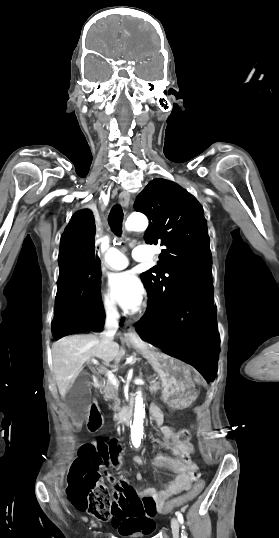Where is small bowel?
Wrapping results in <instances>:
<instances>
[{
  "label": "small bowel",
  "instance_id": "obj_1",
  "mask_svg": "<svg viewBox=\"0 0 279 538\" xmlns=\"http://www.w3.org/2000/svg\"><path fill=\"white\" fill-rule=\"evenodd\" d=\"M154 421L156 425L160 427L162 445L167 446L172 453L171 457L158 456L151 463L153 471L167 468L171 472L170 478L162 485L161 489H149L153 494L157 507L162 508L169 497L189 490L192 480L186 474V467L183 460L185 446L176 442V433L171 427L163 425V415L160 412L154 416ZM168 440H171V443H167ZM133 462L137 465L144 464V460L140 456H135ZM118 465L122 468L124 467L122 457L119 458ZM137 477L138 479H141V475H138ZM144 489L145 488H142L141 491ZM111 521L114 528H116L122 535H128L133 532L149 534L155 528V523L152 517H113L111 518Z\"/></svg>",
  "mask_w": 279,
  "mask_h": 538
}]
</instances>
